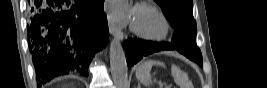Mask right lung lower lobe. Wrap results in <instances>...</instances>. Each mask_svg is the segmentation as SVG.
I'll return each instance as SVG.
<instances>
[{
  "mask_svg": "<svg viewBox=\"0 0 267 88\" xmlns=\"http://www.w3.org/2000/svg\"><path fill=\"white\" fill-rule=\"evenodd\" d=\"M104 0H38L28 6V46L36 80L79 72L88 76L95 53L108 42Z\"/></svg>",
  "mask_w": 267,
  "mask_h": 88,
  "instance_id": "98d812e1",
  "label": "right lung lower lobe"
}]
</instances>
